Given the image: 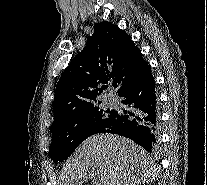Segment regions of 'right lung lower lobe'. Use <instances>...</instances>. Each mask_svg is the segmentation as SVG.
<instances>
[{
	"label": "right lung lower lobe",
	"instance_id": "right-lung-lower-lobe-1",
	"mask_svg": "<svg viewBox=\"0 0 207 185\" xmlns=\"http://www.w3.org/2000/svg\"><path fill=\"white\" fill-rule=\"evenodd\" d=\"M121 101L128 110H116L117 118L105 126L100 133H114L125 136L142 146L152 150L158 139V105L155 82L151 72L144 77L127 82L117 90Z\"/></svg>",
	"mask_w": 207,
	"mask_h": 185
}]
</instances>
